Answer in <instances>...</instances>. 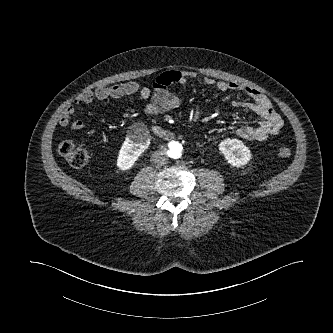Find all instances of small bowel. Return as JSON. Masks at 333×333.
I'll use <instances>...</instances> for the list:
<instances>
[{
    "label": "small bowel",
    "mask_w": 333,
    "mask_h": 333,
    "mask_svg": "<svg viewBox=\"0 0 333 333\" xmlns=\"http://www.w3.org/2000/svg\"><path fill=\"white\" fill-rule=\"evenodd\" d=\"M194 71L170 70L161 73L150 89L137 82H126L113 86H102L78 95L73 103L65 108L59 119L62 127L70 125L74 131L82 130L85 123L81 119L71 122L75 113V106L92 103L94 100L104 101L107 99H119L126 96H137L140 99H150L144 108L146 116L162 114L179 107L180 99L169 88L173 85L184 86L189 79L195 78ZM203 82L209 86H215L221 93L241 91L251 98V102L234 101V107H245L259 116L261 122L258 126L243 125L237 129V134L243 139L263 141L269 136L276 135L283 127L282 117L273 109L269 99L260 91L245 87L236 82L215 81L213 78L205 77Z\"/></svg>",
    "instance_id": "obj_1"
}]
</instances>
